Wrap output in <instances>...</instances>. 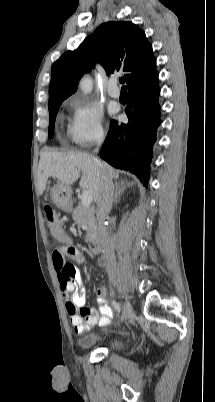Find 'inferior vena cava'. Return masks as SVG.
Here are the masks:
<instances>
[{"label": "inferior vena cava", "instance_id": "1", "mask_svg": "<svg viewBox=\"0 0 215 402\" xmlns=\"http://www.w3.org/2000/svg\"><path fill=\"white\" fill-rule=\"evenodd\" d=\"M103 142V138L97 140V148L95 152L99 151V147ZM113 203V185L108 173L101 169L99 194L97 198V221L99 226V235L102 240V245L105 251L106 270L110 281L116 278V257L114 253V245L111 241L108 232L105 229V218L112 209Z\"/></svg>", "mask_w": 215, "mask_h": 402}]
</instances>
